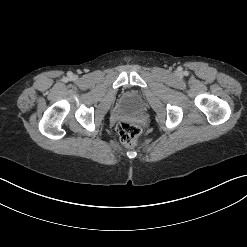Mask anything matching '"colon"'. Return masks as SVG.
Segmentation results:
<instances>
[{
	"label": "colon",
	"instance_id": "5ec220e1",
	"mask_svg": "<svg viewBox=\"0 0 247 247\" xmlns=\"http://www.w3.org/2000/svg\"><path fill=\"white\" fill-rule=\"evenodd\" d=\"M116 129L119 138L125 147L132 148L135 146L137 139L141 134V128L138 124L121 121L117 124Z\"/></svg>",
	"mask_w": 247,
	"mask_h": 247
}]
</instances>
